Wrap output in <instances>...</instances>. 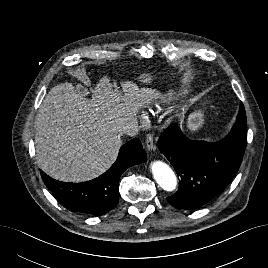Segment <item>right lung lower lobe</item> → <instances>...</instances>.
<instances>
[{
    "label": "right lung lower lobe",
    "instance_id": "obj_1",
    "mask_svg": "<svg viewBox=\"0 0 268 268\" xmlns=\"http://www.w3.org/2000/svg\"><path fill=\"white\" fill-rule=\"evenodd\" d=\"M146 153L139 139L124 144L115 163L101 176L83 183H66L52 179L41 171L47 188L57 201L71 212L101 215L119 201V179L129 167L145 162Z\"/></svg>",
    "mask_w": 268,
    "mask_h": 268
}]
</instances>
